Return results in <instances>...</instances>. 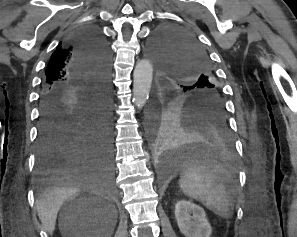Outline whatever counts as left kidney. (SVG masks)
Returning <instances> with one entry per match:
<instances>
[{"instance_id": "obj_1", "label": "left kidney", "mask_w": 297, "mask_h": 237, "mask_svg": "<svg viewBox=\"0 0 297 237\" xmlns=\"http://www.w3.org/2000/svg\"><path fill=\"white\" fill-rule=\"evenodd\" d=\"M175 218L185 237H210L212 227L204 209L190 201L180 200L175 205Z\"/></svg>"}]
</instances>
